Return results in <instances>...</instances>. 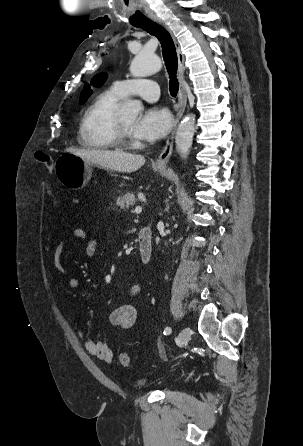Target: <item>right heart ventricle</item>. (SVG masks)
I'll list each match as a JSON object with an SVG mask.
<instances>
[{
	"label": "right heart ventricle",
	"mask_w": 303,
	"mask_h": 446,
	"mask_svg": "<svg viewBox=\"0 0 303 446\" xmlns=\"http://www.w3.org/2000/svg\"><path fill=\"white\" fill-rule=\"evenodd\" d=\"M123 98L112 86L88 105L79 123L77 139L82 147L107 150L117 146V109Z\"/></svg>",
	"instance_id": "right-heart-ventricle-1"
}]
</instances>
